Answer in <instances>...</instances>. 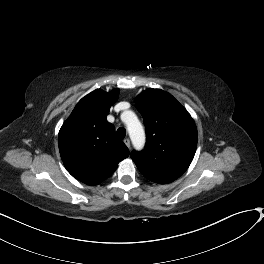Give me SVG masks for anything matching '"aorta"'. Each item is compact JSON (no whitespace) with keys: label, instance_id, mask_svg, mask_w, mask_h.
<instances>
[{"label":"aorta","instance_id":"1","mask_svg":"<svg viewBox=\"0 0 264 264\" xmlns=\"http://www.w3.org/2000/svg\"><path fill=\"white\" fill-rule=\"evenodd\" d=\"M125 123L129 132L130 139L136 149H142L145 144V132L137 116L131 112H126Z\"/></svg>","mask_w":264,"mask_h":264}]
</instances>
